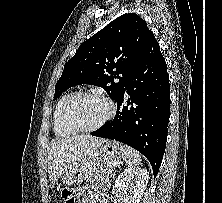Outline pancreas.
Returning <instances> with one entry per match:
<instances>
[{
  "mask_svg": "<svg viewBox=\"0 0 222 203\" xmlns=\"http://www.w3.org/2000/svg\"><path fill=\"white\" fill-rule=\"evenodd\" d=\"M114 161H103L101 164L93 169L91 173L87 176L88 181H98V180H107L114 171L115 166H113Z\"/></svg>",
  "mask_w": 222,
  "mask_h": 203,
  "instance_id": "pancreas-1",
  "label": "pancreas"
}]
</instances>
